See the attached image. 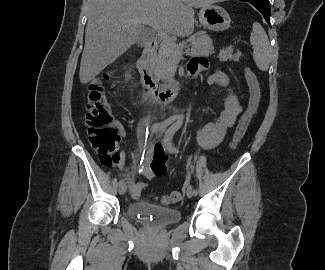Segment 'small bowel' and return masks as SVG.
<instances>
[{"label": "small bowel", "mask_w": 325, "mask_h": 270, "mask_svg": "<svg viewBox=\"0 0 325 270\" xmlns=\"http://www.w3.org/2000/svg\"><path fill=\"white\" fill-rule=\"evenodd\" d=\"M208 67L207 59L203 57H195L191 60L189 65V73L192 77H196L197 74ZM209 84H218L221 86H228L229 79L225 73L220 70L214 71L208 78ZM242 113V106L238 101L235 93L230 90V94L226 100L224 110L219 114L218 118L204 125L198 132L197 138L199 144L207 149L217 146L228 129H230L236 122L238 116ZM122 137L125 136L124 127L121 124L117 125ZM120 154L119 165H122L124 156ZM167 170L166 155L161 148H157L154 151V160L151 163V168L146 167L142 175L147 179H152L154 176H160ZM128 186L133 198H138L143 189L146 188V184L142 182H136L133 178H129Z\"/></svg>", "instance_id": "small-bowel-1"}]
</instances>
